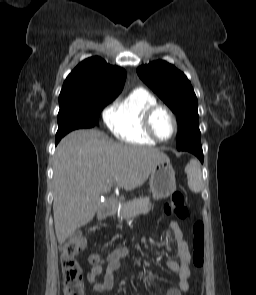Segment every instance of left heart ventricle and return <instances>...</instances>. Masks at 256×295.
<instances>
[{
    "instance_id": "left-heart-ventricle-1",
    "label": "left heart ventricle",
    "mask_w": 256,
    "mask_h": 295,
    "mask_svg": "<svg viewBox=\"0 0 256 295\" xmlns=\"http://www.w3.org/2000/svg\"><path fill=\"white\" fill-rule=\"evenodd\" d=\"M153 127L161 139H169L173 133V122L164 111H158L153 118Z\"/></svg>"
}]
</instances>
